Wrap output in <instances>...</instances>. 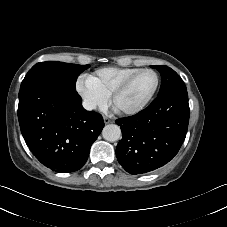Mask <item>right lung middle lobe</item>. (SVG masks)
I'll use <instances>...</instances> for the list:
<instances>
[{
  "mask_svg": "<svg viewBox=\"0 0 227 227\" xmlns=\"http://www.w3.org/2000/svg\"><path fill=\"white\" fill-rule=\"evenodd\" d=\"M89 67L90 65H77L56 61L39 62L28 71L20 88H24L36 80L47 79L76 90L77 77Z\"/></svg>",
  "mask_w": 227,
  "mask_h": 227,
  "instance_id": "1",
  "label": "right lung middle lobe"
}]
</instances>
